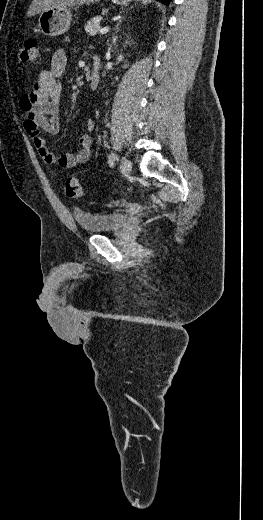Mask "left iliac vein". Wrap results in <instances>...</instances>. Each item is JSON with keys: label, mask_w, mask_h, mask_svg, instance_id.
I'll return each mask as SVG.
<instances>
[{"label": "left iliac vein", "mask_w": 263, "mask_h": 520, "mask_svg": "<svg viewBox=\"0 0 263 520\" xmlns=\"http://www.w3.org/2000/svg\"><path fill=\"white\" fill-rule=\"evenodd\" d=\"M120 169L124 176H129L132 170L131 162L127 158L122 157L120 161Z\"/></svg>", "instance_id": "1"}]
</instances>
